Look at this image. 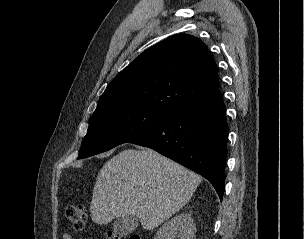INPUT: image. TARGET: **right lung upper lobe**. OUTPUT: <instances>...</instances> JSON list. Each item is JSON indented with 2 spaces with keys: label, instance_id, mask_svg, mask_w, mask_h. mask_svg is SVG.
<instances>
[{
  "label": "right lung upper lobe",
  "instance_id": "right-lung-upper-lobe-1",
  "mask_svg": "<svg viewBox=\"0 0 304 239\" xmlns=\"http://www.w3.org/2000/svg\"><path fill=\"white\" fill-rule=\"evenodd\" d=\"M217 90L216 64L207 46L192 35L177 34L122 70L107 86L93 115L133 107L173 115Z\"/></svg>",
  "mask_w": 304,
  "mask_h": 239
}]
</instances>
